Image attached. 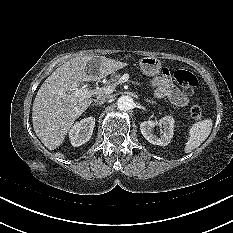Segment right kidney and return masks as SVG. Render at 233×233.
Segmentation results:
<instances>
[{"label": "right kidney", "instance_id": "right-kidney-1", "mask_svg": "<svg viewBox=\"0 0 233 233\" xmlns=\"http://www.w3.org/2000/svg\"><path fill=\"white\" fill-rule=\"evenodd\" d=\"M95 127V118L88 117L76 122L69 131L72 146L79 147L89 141Z\"/></svg>", "mask_w": 233, "mask_h": 233}]
</instances>
